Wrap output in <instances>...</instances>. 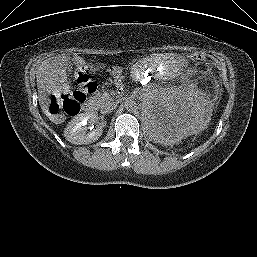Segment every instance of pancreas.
Instances as JSON below:
<instances>
[{"instance_id": "cf45deb5", "label": "pancreas", "mask_w": 257, "mask_h": 257, "mask_svg": "<svg viewBox=\"0 0 257 257\" xmlns=\"http://www.w3.org/2000/svg\"><path fill=\"white\" fill-rule=\"evenodd\" d=\"M94 100L96 101V107H101L102 105H104L106 98L99 94L97 97L94 98Z\"/></svg>"}]
</instances>
